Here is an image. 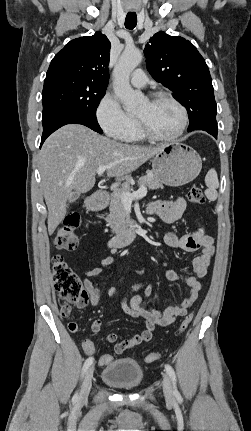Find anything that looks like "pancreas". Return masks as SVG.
<instances>
[{
    "instance_id": "obj_1",
    "label": "pancreas",
    "mask_w": 251,
    "mask_h": 431,
    "mask_svg": "<svg viewBox=\"0 0 251 431\" xmlns=\"http://www.w3.org/2000/svg\"><path fill=\"white\" fill-rule=\"evenodd\" d=\"M131 182V178L127 179L122 184L121 188L114 189L113 193L110 195V213L106 216L105 220L115 234H120L128 228L126 209L121 201V195L132 191V187L130 186ZM138 184L140 187L145 186L151 190L163 188L160 181L150 171H147V175L139 179Z\"/></svg>"
}]
</instances>
